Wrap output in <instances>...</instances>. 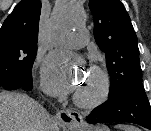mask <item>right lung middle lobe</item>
Returning <instances> with one entry per match:
<instances>
[{
  "label": "right lung middle lobe",
  "instance_id": "right-lung-middle-lobe-1",
  "mask_svg": "<svg viewBox=\"0 0 151 131\" xmlns=\"http://www.w3.org/2000/svg\"><path fill=\"white\" fill-rule=\"evenodd\" d=\"M36 51L20 44L13 43L0 50V80L3 88L16 90L21 88L23 81L32 77L31 69Z\"/></svg>",
  "mask_w": 151,
  "mask_h": 131
}]
</instances>
